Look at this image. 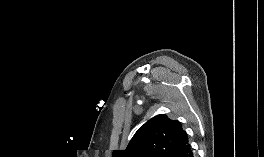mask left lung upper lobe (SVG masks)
Here are the masks:
<instances>
[{
  "instance_id": "1",
  "label": "left lung upper lobe",
  "mask_w": 264,
  "mask_h": 157,
  "mask_svg": "<svg viewBox=\"0 0 264 157\" xmlns=\"http://www.w3.org/2000/svg\"><path fill=\"white\" fill-rule=\"evenodd\" d=\"M187 133L178 120L157 115L135 133L125 150H114L112 157H190Z\"/></svg>"
}]
</instances>
